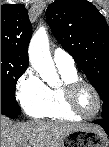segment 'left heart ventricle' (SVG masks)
Returning a JSON list of instances; mask_svg holds the SVG:
<instances>
[{"mask_svg": "<svg viewBox=\"0 0 109 147\" xmlns=\"http://www.w3.org/2000/svg\"><path fill=\"white\" fill-rule=\"evenodd\" d=\"M77 104L84 114L90 115L96 110L97 100L89 88L82 87L77 95Z\"/></svg>", "mask_w": 109, "mask_h": 147, "instance_id": "left-heart-ventricle-1", "label": "left heart ventricle"}]
</instances>
